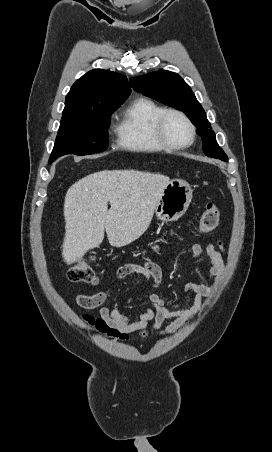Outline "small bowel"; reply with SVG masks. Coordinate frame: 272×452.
<instances>
[{"label": "small bowel", "instance_id": "obj_1", "mask_svg": "<svg viewBox=\"0 0 272 452\" xmlns=\"http://www.w3.org/2000/svg\"><path fill=\"white\" fill-rule=\"evenodd\" d=\"M224 245L221 241L210 243L206 246L200 243H193L191 246V257L193 260L206 259L210 263L206 278L202 281H189L184 287V296L192 299V305L188 309L183 308L184 300H179L169 306L163 298L154 291L162 282L163 274L160 266L153 260H145L143 263H126L117 270L119 279L126 278L132 274L142 275L152 282L151 290L147 299L149 306L144 312L129 318L120 313L115 305L108 306L106 302L110 296V290H103L94 294H81L77 298L79 306L85 310H95L99 316L90 314L82 315L85 324L95 328L100 333L111 338L126 341L131 332H140L142 336L147 335V328L152 321L151 328L160 330L161 336H167L176 332L185 322L201 307L204 297L211 296L214 292L213 285L208 281L219 284L224 275ZM170 320V323L163 329L162 325Z\"/></svg>", "mask_w": 272, "mask_h": 452}]
</instances>
